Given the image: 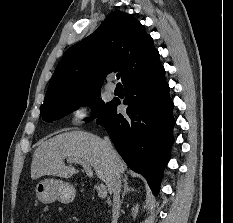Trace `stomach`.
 Segmentation results:
<instances>
[{"label":"stomach","instance_id":"1","mask_svg":"<svg viewBox=\"0 0 233 223\" xmlns=\"http://www.w3.org/2000/svg\"><path fill=\"white\" fill-rule=\"evenodd\" d=\"M35 195L41 203H53V201H61V203H71L74 201L77 189L73 183L63 181V179H40L35 185Z\"/></svg>","mask_w":233,"mask_h":223}]
</instances>
